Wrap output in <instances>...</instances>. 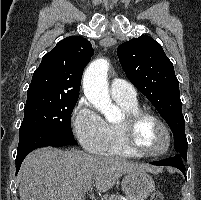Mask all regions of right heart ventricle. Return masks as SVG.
<instances>
[{
	"mask_svg": "<svg viewBox=\"0 0 201 200\" xmlns=\"http://www.w3.org/2000/svg\"><path fill=\"white\" fill-rule=\"evenodd\" d=\"M121 107L124 113H132L139 110L137 100L114 99ZM105 155L121 156V157H137L128 150L122 139V133L119 122L106 123V141L102 153Z\"/></svg>",
	"mask_w": 201,
	"mask_h": 200,
	"instance_id": "right-heart-ventricle-1",
	"label": "right heart ventricle"
}]
</instances>
